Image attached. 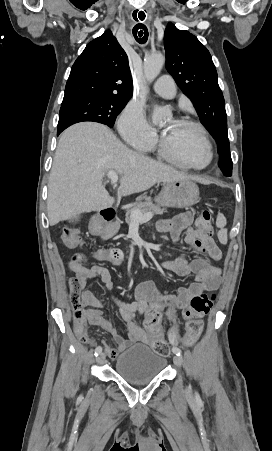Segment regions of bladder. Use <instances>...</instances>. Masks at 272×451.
I'll return each mask as SVG.
<instances>
[{
	"instance_id": "obj_1",
	"label": "bladder",
	"mask_w": 272,
	"mask_h": 451,
	"mask_svg": "<svg viewBox=\"0 0 272 451\" xmlns=\"http://www.w3.org/2000/svg\"><path fill=\"white\" fill-rule=\"evenodd\" d=\"M167 359L148 346L135 344L117 358L114 369L117 376L131 384H148L162 373Z\"/></svg>"
}]
</instances>
